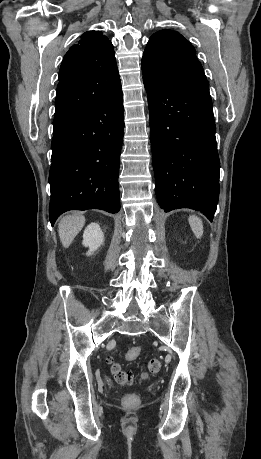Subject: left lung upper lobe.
Instances as JSON below:
<instances>
[{
  "label": "left lung upper lobe",
  "instance_id": "1",
  "mask_svg": "<svg viewBox=\"0 0 261 459\" xmlns=\"http://www.w3.org/2000/svg\"><path fill=\"white\" fill-rule=\"evenodd\" d=\"M141 68L169 83L209 87L194 47L173 30L164 29L151 36L142 57Z\"/></svg>",
  "mask_w": 261,
  "mask_h": 459
}]
</instances>
